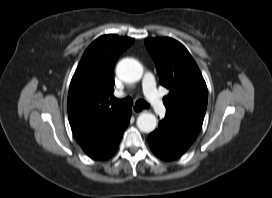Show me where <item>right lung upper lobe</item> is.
Listing matches in <instances>:
<instances>
[{
    "label": "right lung upper lobe",
    "instance_id": "1",
    "mask_svg": "<svg viewBox=\"0 0 272 198\" xmlns=\"http://www.w3.org/2000/svg\"><path fill=\"white\" fill-rule=\"evenodd\" d=\"M134 39L103 35L84 52L70 83L67 110L72 132L81 143L124 108L112 104L113 69L119 55Z\"/></svg>",
    "mask_w": 272,
    "mask_h": 198
}]
</instances>
